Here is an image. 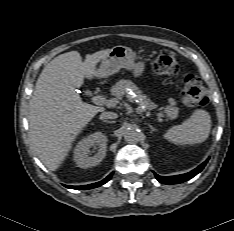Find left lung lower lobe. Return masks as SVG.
<instances>
[{"mask_svg":"<svg viewBox=\"0 0 234 231\" xmlns=\"http://www.w3.org/2000/svg\"><path fill=\"white\" fill-rule=\"evenodd\" d=\"M208 162V159L199 165L196 169L192 170L189 173L177 175V176H159L155 173L156 179L164 184H176V183H182L184 181H187L191 178H193L195 175H197L199 172L202 171V169L205 167L206 163Z\"/></svg>","mask_w":234,"mask_h":231,"instance_id":"obj_1","label":"left lung lower lobe"}]
</instances>
